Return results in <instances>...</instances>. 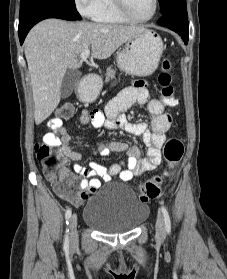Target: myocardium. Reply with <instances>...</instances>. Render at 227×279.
Segmentation results:
<instances>
[{"instance_id": "1", "label": "myocardium", "mask_w": 227, "mask_h": 279, "mask_svg": "<svg viewBox=\"0 0 227 279\" xmlns=\"http://www.w3.org/2000/svg\"><path fill=\"white\" fill-rule=\"evenodd\" d=\"M113 2H114L116 9L122 16H124L127 19L134 21V22H146V21L153 19L157 13L158 6H159L158 0H153V9H152V12L150 13V15H148L147 17H144V18H138V17H135L131 13V11L128 8V5L126 3V0H113Z\"/></svg>"}]
</instances>
